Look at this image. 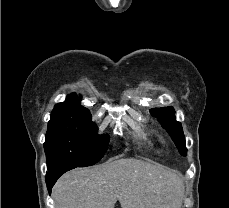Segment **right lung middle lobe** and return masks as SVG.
Here are the masks:
<instances>
[{
	"instance_id": "obj_1",
	"label": "right lung middle lobe",
	"mask_w": 229,
	"mask_h": 208,
	"mask_svg": "<svg viewBox=\"0 0 229 208\" xmlns=\"http://www.w3.org/2000/svg\"><path fill=\"white\" fill-rule=\"evenodd\" d=\"M97 131L90 117L53 110L44 143L47 173L100 161L107 150L109 137L98 135Z\"/></svg>"
}]
</instances>
